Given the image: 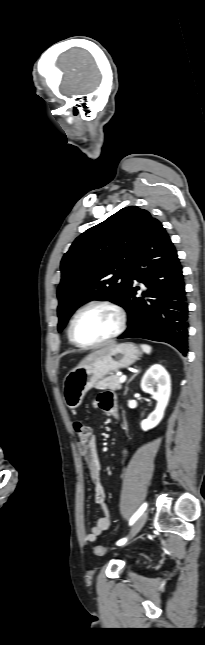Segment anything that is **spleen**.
<instances>
[{
	"mask_svg": "<svg viewBox=\"0 0 205 645\" xmlns=\"http://www.w3.org/2000/svg\"><path fill=\"white\" fill-rule=\"evenodd\" d=\"M141 348L147 354H150L152 351V347L147 344H141Z\"/></svg>",
	"mask_w": 205,
	"mask_h": 645,
	"instance_id": "obj_1",
	"label": "spleen"
}]
</instances>
